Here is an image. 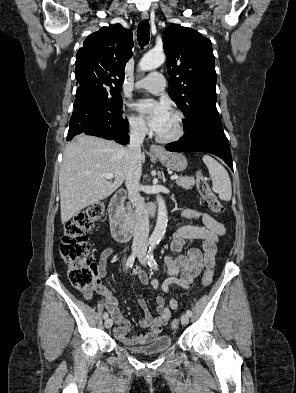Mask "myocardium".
<instances>
[{"label":"myocardium","mask_w":296,"mask_h":393,"mask_svg":"<svg viewBox=\"0 0 296 393\" xmlns=\"http://www.w3.org/2000/svg\"><path fill=\"white\" fill-rule=\"evenodd\" d=\"M171 114L176 118L177 125L175 131L169 136H161L156 134L157 141L161 143H171L181 139L185 133V119L180 111H172Z\"/></svg>","instance_id":"1"}]
</instances>
